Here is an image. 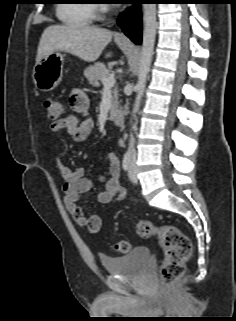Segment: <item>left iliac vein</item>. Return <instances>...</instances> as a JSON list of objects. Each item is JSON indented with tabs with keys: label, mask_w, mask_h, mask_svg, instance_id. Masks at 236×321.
Listing matches in <instances>:
<instances>
[{
	"label": "left iliac vein",
	"mask_w": 236,
	"mask_h": 321,
	"mask_svg": "<svg viewBox=\"0 0 236 321\" xmlns=\"http://www.w3.org/2000/svg\"><path fill=\"white\" fill-rule=\"evenodd\" d=\"M128 177L131 182L137 183L136 168H135L134 161H131L129 172H128Z\"/></svg>",
	"instance_id": "1"
}]
</instances>
